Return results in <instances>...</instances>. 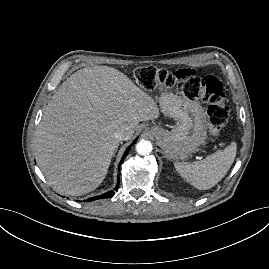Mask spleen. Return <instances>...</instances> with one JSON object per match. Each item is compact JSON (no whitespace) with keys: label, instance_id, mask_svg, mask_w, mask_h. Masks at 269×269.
<instances>
[{"label":"spleen","instance_id":"obj_1","mask_svg":"<svg viewBox=\"0 0 269 269\" xmlns=\"http://www.w3.org/2000/svg\"><path fill=\"white\" fill-rule=\"evenodd\" d=\"M237 146L231 142L223 150H217L205 159L197 162H175L180 176L199 190L214 187L225 177L236 157Z\"/></svg>","mask_w":269,"mask_h":269}]
</instances>
